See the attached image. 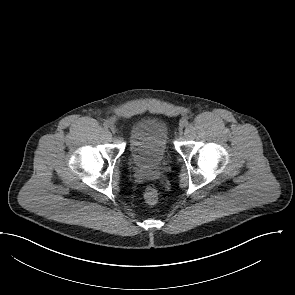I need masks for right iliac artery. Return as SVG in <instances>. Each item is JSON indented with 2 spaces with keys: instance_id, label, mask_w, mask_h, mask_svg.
<instances>
[{
  "instance_id": "1",
  "label": "right iliac artery",
  "mask_w": 295,
  "mask_h": 295,
  "mask_svg": "<svg viewBox=\"0 0 295 295\" xmlns=\"http://www.w3.org/2000/svg\"><path fill=\"white\" fill-rule=\"evenodd\" d=\"M103 126L105 128H109L110 127V123L108 121H105L104 124H103Z\"/></svg>"
}]
</instances>
